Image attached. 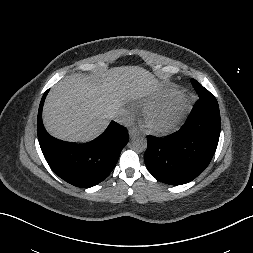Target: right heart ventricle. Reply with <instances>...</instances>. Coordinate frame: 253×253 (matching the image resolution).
<instances>
[{
	"label": "right heart ventricle",
	"instance_id": "obj_1",
	"mask_svg": "<svg viewBox=\"0 0 253 253\" xmlns=\"http://www.w3.org/2000/svg\"><path fill=\"white\" fill-rule=\"evenodd\" d=\"M175 91L174 90H168L165 91L163 94H161L156 101L157 102H165L167 100H169L173 95H174Z\"/></svg>",
	"mask_w": 253,
	"mask_h": 253
}]
</instances>
